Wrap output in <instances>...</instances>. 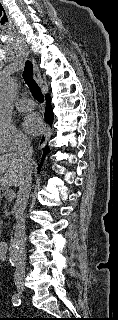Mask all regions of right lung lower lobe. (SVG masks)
Here are the masks:
<instances>
[{
  "instance_id": "right-lung-lower-lobe-1",
  "label": "right lung lower lobe",
  "mask_w": 118,
  "mask_h": 320,
  "mask_svg": "<svg viewBox=\"0 0 118 320\" xmlns=\"http://www.w3.org/2000/svg\"><path fill=\"white\" fill-rule=\"evenodd\" d=\"M45 111H46L45 117L47 118V122L50 125H52V123H53V110H52V107H51V102H50V97L49 96H46V109H45ZM43 150L44 151H43V156H42L41 162H43L44 157L49 152L48 146H46Z\"/></svg>"
}]
</instances>
